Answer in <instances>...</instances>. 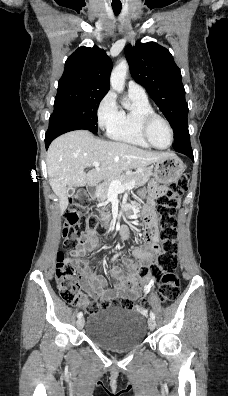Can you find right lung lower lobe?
Wrapping results in <instances>:
<instances>
[{
    "label": "right lung lower lobe",
    "instance_id": "98d812e1",
    "mask_svg": "<svg viewBox=\"0 0 228 396\" xmlns=\"http://www.w3.org/2000/svg\"><path fill=\"white\" fill-rule=\"evenodd\" d=\"M78 129H81L79 125L66 120H60V119L49 120V128L45 136L46 149L48 148L52 140L58 137L59 135Z\"/></svg>",
    "mask_w": 228,
    "mask_h": 396
}]
</instances>
